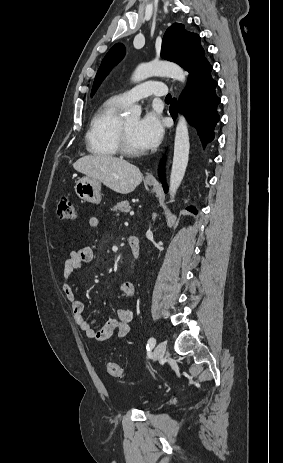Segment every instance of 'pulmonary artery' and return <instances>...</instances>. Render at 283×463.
<instances>
[{
	"label": "pulmonary artery",
	"mask_w": 283,
	"mask_h": 463,
	"mask_svg": "<svg viewBox=\"0 0 283 463\" xmlns=\"http://www.w3.org/2000/svg\"><path fill=\"white\" fill-rule=\"evenodd\" d=\"M167 92L168 89L164 83L160 81H148L118 95V97L127 105L152 95L166 96Z\"/></svg>",
	"instance_id": "e3ab8cb5"
}]
</instances>
